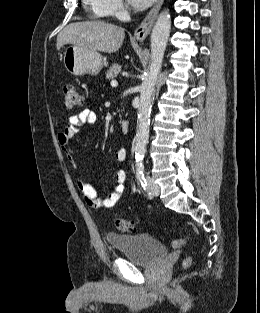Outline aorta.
<instances>
[{"label":"aorta","mask_w":260,"mask_h":313,"mask_svg":"<svg viewBox=\"0 0 260 313\" xmlns=\"http://www.w3.org/2000/svg\"><path fill=\"white\" fill-rule=\"evenodd\" d=\"M170 29L171 16L168 11H163L157 17L151 33V61L140 87L138 127L134 147L135 159L137 163L142 162L146 153V145L149 139L151 102L155 91V85L162 67V61L169 39Z\"/></svg>","instance_id":"1"}]
</instances>
